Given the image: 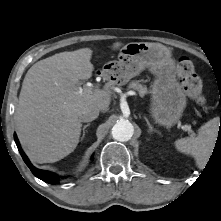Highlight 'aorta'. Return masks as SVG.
I'll return each instance as SVG.
<instances>
[{
  "label": "aorta",
  "mask_w": 221,
  "mask_h": 221,
  "mask_svg": "<svg viewBox=\"0 0 221 221\" xmlns=\"http://www.w3.org/2000/svg\"><path fill=\"white\" fill-rule=\"evenodd\" d=\"M134 133L133 125L127 120L118 121L112 128V136L115 140L126 142L131 139Z\"/></svg>",
  "instance_id": "1"
}]
</instances>
